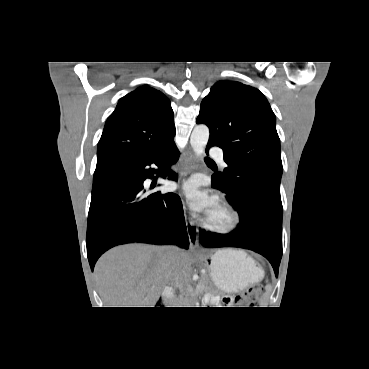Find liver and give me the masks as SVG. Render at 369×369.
Masks as SVG:
<instances>
[{
  "instance_id": "liver-1",
  "label": "liver",
  "mask_w": 369,
  "mask_h": 369,
  "mask_svg": "<svg viewBox=\"0 0 369 369\" xmlns=\"http://www.w3.org/2000/svg\"><path fill=\"white\" fill-rule=\"evenodd\" d=\"M167 247L129 244L106 252L95 266L105 307H154L166 286L180 287L191 274L188 253Z\"/></svg>"
}]
</instances>
